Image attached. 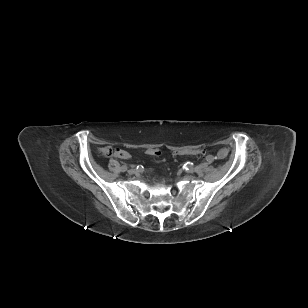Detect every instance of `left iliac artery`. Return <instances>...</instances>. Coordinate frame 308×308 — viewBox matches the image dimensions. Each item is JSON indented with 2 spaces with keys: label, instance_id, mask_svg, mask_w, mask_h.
Wrapping results in <instances>:
<instances>
[{
  "label": "left iliac artery",
  "instance_id": "1",
  "mask_svg": "<svg viewBox=\"0 0 308 308\" xmlns=\"http://www.w3.org/2000/svg\"><path fill=\"white\" fill-rule=\"evenodd\" d=\"M207 162L208 163H213L214 162V157L213 156H208L207 157Z\"/></svg>",
  "mask_w": 308,
  "mask_h": 308
}]
</instances>
